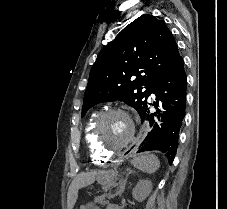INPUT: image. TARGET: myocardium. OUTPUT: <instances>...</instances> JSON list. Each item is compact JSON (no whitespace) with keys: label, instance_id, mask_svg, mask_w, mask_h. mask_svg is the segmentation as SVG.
I'll return each instance as SVG.
<instances>
[{"label":"myocardium","instance_id":"myocardium-1","mask_svg":"<svg viewBox=\"0 0 227 209\" xmlns=\"http://www.w3.org/2000/svg\"><path fill=\"white\" fill-rule=\"evenodd\" d=\"M117 114L124 116L128 120L131 127V133L129 138L121 145L116 146L114 148H108L104 145L103 141L101 140V136H100L101 129L107 118ZM135 136H136V128H135L134 122L132 121L131 117L127 112L119 108H111L99 114L93 128V140H94L95 146L100 151V153L110 157L120 153L122 150L128 147V145L132 142Z\"/></svg>","mask_w":227,"mask_h":209}]
</instances>
